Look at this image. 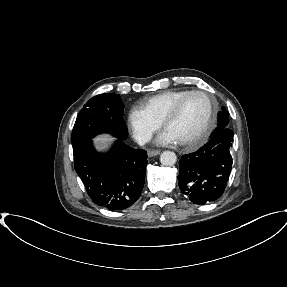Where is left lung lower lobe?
I'll return each instance as SVG.
<instances>
[{
	"label": "left lung lower lobe",
	"instance_id": "0a47b994",
	"mask_svg": "<svg viewBox=\"0 0 287 287\" xmlns=\"http://www.w3.org/2000/svg\"><path fill=\"white\" fill-rule=\"evenodd\" d=\"M233 136V131L225 128L199 150L179 160V188L193 203H210L224 193L233 164Z\"/></svg>",
	"mask_w": 287,
	"mask_h": 287
}]
</instances>
